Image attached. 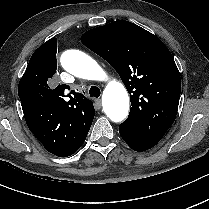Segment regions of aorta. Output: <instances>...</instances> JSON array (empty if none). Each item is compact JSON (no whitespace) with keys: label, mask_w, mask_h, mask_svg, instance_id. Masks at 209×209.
<instances>
[{"label":"aorta","mask_w":209,"mask_h":209,"mask_svg":"<svg viewBox=\"0 0 209 209\" xmlns=\"http://www.w3.org/2000/svg\"><path fill=\"white\" fill-rule=\"evenodd\" d=\"M61 64L69 73L87 80L103 81L106 72L89 55L79 50H67L61 56ZM103 110L113 122H122L128 116L129 96L124 85L111 80L104 90Z\"/></svg>","instance_id":"obj_1"}]
</instances>
